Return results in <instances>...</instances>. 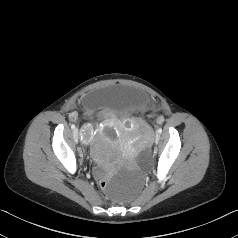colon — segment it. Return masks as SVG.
Segmentation results:
<instances>
[{"mask_svg":"<svg viewBox=\"0 0 238 238\" xmlns=\"http://www.w3.org/2000/svg\"><path fill=\"white\" fill-rule=\"evenodd\" d=\"M163 120L162 118H157V122L161 123ZM109 185V182L106 180V179H103L100 183H99V186L102 188V189H105L107 186Z\"/></svg>","mask_w":238,"mask_h":238,"instance_id":"5ec220e1","label":"colon"}]
</instances>
